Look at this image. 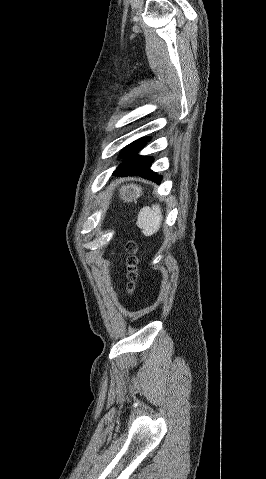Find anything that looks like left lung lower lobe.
I'll return each mask as SVG.
<instances>
[{"mask_svg":"<svg viewBox=\"0 0 266 479\" xmlns=\"http://www.w3.org/2000/svg\"><path fill=\"white\" fill-rule=\"evenodd\" d=\"M153 159H149L144 161L141 165L138 167H130L126 170H120V171H114L113 175L115 176H120V177H126V176H140L145 179L151 180L153 182H156L157 184L161 183V180L163 178L162 175H158L157 173L153 172L150 167L152 165Z\"/></svg>","mask_w":266,"mask_h":479,"instance_id":"0a47b994","label":"left lung lower lobe"}]
</instances>
